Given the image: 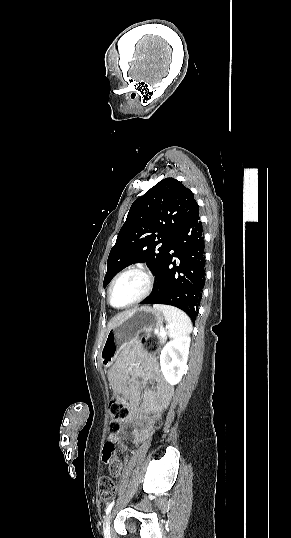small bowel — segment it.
<instances>
[{
  "instance_id": "obj_1",
  "label": "small bowel",
  "mask_w": 291,
  "mask_h": 538,
  "mask_svg": "<svg viewBox=\"0 0 291 538\" xmlns=\"http://www.w3.org/2000/svg\"><path fill=\"white\" fill-rule=\"evenodd\" d=\"M107 372L114 394L130 403L125 424L134 427L131 442L138 447L150 434L151 415L157 403L167 402L172 396L173 388L163 380L157 362L141 352L124 351L117 363L107 365ZM145 381H152L156 387L142 394L141 384ZM125 437L126 431L121 430L110 434L106 442L113 443L120 451H126L128 446L124 442ZM109 468L114 476L119 477L123 465L116 459L115 464L109 465Z\"/></svg>"
}]
</instances>
